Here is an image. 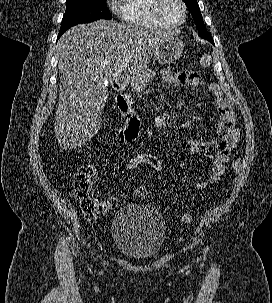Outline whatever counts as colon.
Instances as JSON below:
<instances>
[{"label": "colon", "mask_w": 272, "mask_h": 303, "mask_svg": "<svg viewBox=\"0 0 272 303\" xmlns=\"http://www.w3.org/2000/svg\"><path fill=\"white\" fill-rule=\"evenodd\" d=\"M203 67H207L211 63L209 56H203L200 60ZM241 162L236 159L231 166V176L236 177L239 172ZM146 170L154 173L161 174L164 172V163L162 159L152 152H140L131 157L125 170ZM95 168L92 163L86 162L81 164L73 177V194L76 202L80 206L84 216L88 220H96L113 207V201H105L98 199L95 196V190L92 184V177ZM135 194L139 198H146L148 196V189L140 186L136 188ZM196 218L195 212H187L181 215L183 223H191Z\"/></svg>", "instance_id": "colon-1"}]
</instances>
